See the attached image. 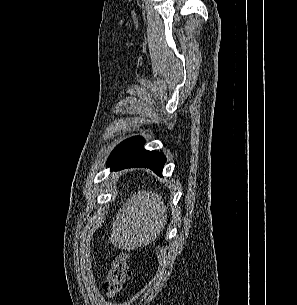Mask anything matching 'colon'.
I'll list each match as a JSON object with an SVG mask.
<instances>
[{
  "label": "colon",
  "mask_w": 297,
  "mask_h": 305,
  "mask_svg": "<svg viewBox=\"0 0 297 305\" xmlns=\"http://www.w3.org/2000/svg\"><path fill=\"white\" fill-rule=\"evenodd\" d=\"M129 275L130 266L127 257L125 255L116 257L105 280L104 289L106 294L110 297L119 294Z\"/></svg>",
  "instance_id": "1"
}]
</instances>
